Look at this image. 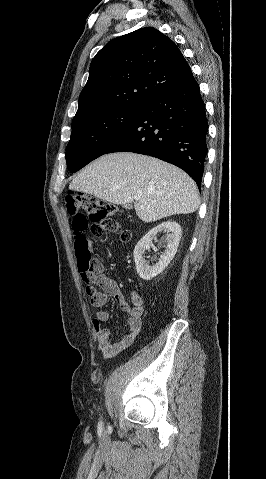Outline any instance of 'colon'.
Here are the masks:
<instances>
[{"label":"colon","instance_id":"obj_1","mask_svg":"<svg viewBox=\"0 0 266 479\" xmlns=\"http://www.w3.org/2000/svg\"><path fill=\"white\" fill-rule=\"evenodd\" d=\"M65 209L72 217L71 228L77 269L85 284V291L92 300L98 290L93 281L94 261L87 231L95 236L113 234L122 242L130 241L131 233L112 218L116 212L115 205L95 196L70 191L65 196Z\"/></svg>","mask_w":266,"mask_h":479}]
</instances>
